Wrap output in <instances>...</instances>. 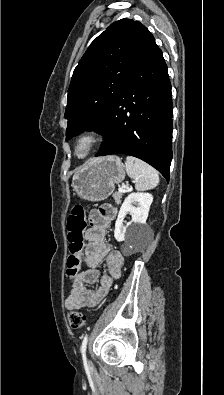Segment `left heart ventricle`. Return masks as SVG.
<instances>
[{"label": "left heart ventricle", "mask_w": 224, "mask_h": 395, "mask_svg": "<svg viewBox=\"0 0 224 395\" xmlns=\"http://www.w3.org/2000/svg\"><path fill=\"white\" fill-rule=\"evenodd\" d=\"M86 149H87L86 143H81L77 149L78 155H84Z\"/></svg>", "instance_id": "obj_1"}]
</instances>
